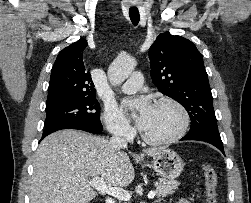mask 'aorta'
Here are the masks:
<instances>
[{
    "mask_svg": "<svg viewBox=\"0 0 251 203\" xmlns=\"http://www.w3.org/2000/svg\"><path fill=\"white\" fill-rule=\"evenodd\" d=\"M136 67L133 58H116L108 69V78L112 85L124 82Z\"/></svg>",
    "mask_w": 251,
    "mask_h": 203,
    "instance_id": "aorta-1",
    "label": "aorta"
}]
</instances>
